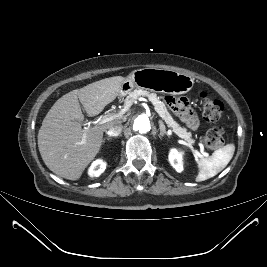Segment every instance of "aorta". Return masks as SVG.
<instances>
[{
  "label": "aorta",
  "instance_id": "obj_1",
  "mask_svg": "<svg viewBox=\"0 0 267 267\" xmlns=\"http://www.w3.org/2000/svg\"><path fill=\"white\" fill-rule=\"evenodd\" d=\"M133 129L140 133H147L151 129L150 119L147 115H139L135 118Z\"/></svg>",
  "mask_w": 267,
  "mask_h": 267
}]
</instances>
